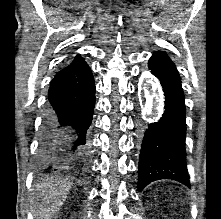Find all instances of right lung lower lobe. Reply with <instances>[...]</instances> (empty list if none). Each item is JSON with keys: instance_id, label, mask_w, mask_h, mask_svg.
<instances>
[{"instance_id": "right-lung-lower-lobe-1", "label": "right lung lower lobe", "mask_w": 221, "mask_h": 219, "mask_svg": "<svg viewBox=\"0 0 221 219\" xmlns=\"http://www.w3.org/2000/svg\"><path fill=\"white\" fill-rule=\"evenodd\" d=\"M48 99L38 152V169L45 173L82 162L89 150L95 85L90 67L80 55L55 75Z\"/></svg>"}]
</instances>
